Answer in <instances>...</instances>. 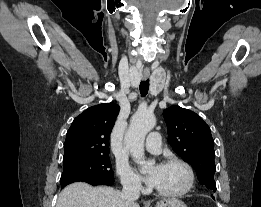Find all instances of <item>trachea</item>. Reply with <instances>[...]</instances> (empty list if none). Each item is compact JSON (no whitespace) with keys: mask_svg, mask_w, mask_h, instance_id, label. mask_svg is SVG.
<instances>
[{"mask_svg":"<svg viewBox=\"0 0 261 207\" xmlns=\"http://www.w3.org/2000/svg\"><path fill=\"white\" fill-rule=\"evenodd\" d=\"M139 89H140L141 96L142 97L146 96L149 90V79L145 81H141Z\"/></svg>","mask_w":261,"mask_h":207,"instance_id":"3493384b","label":"trachea"}]
</instances>
